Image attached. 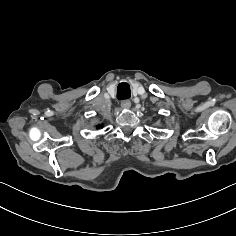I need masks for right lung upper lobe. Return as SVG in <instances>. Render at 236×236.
<instances>
[{"instance_id":"obj_1","label":"right lung upper lobe","mask_w":236,"mask_h":236,"mask_svg":"<svg viewBox=\"0 0 236 236\" xmlns=\"http://www.w3.org/2000/svg\"><path fill=\"white\" fill-rule=\"evenodd\" d=\"M101 127H102V125H97V126H96L97 129H99V128H101Z\"/></svg>"}]
</instances>
